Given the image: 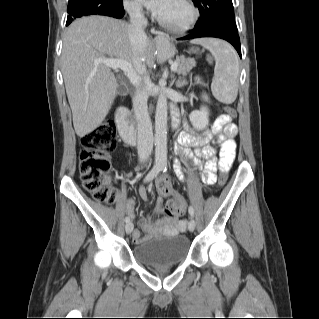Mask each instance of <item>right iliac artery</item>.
Masks as SVG:
<instances>
[{
	"label": "right iliac artery",
	"mask_w": 319,
	"mask_h": 319,
	"mask_svg": "<svg viewBox=\"0 0 319 319\" xmlns=\"http://www.w3.org/2000/svg\"><path fill=\"white\" fill-rule=\"evenodd\" d=\"M160 171H161V166L160 165H154L152 170L145 176L144 182L151 181L154 177H156L159 174ZM129 221H130V218L126 217L125 218V222L127 223Z\"/></svg>",
	"instance_id": "82829eb1"
}]
</instances>
